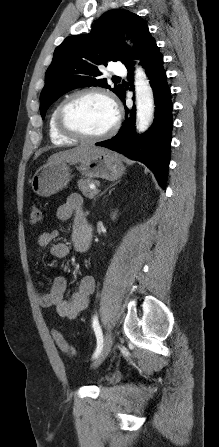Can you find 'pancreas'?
<instances>
[{
	"label": "pancreas",
	"mask_w": 219,
	"mask_h": 447,
	"mask_svg": "<svg viewBox=\"0 0 219 447\" xmlns=\"http://www.w3.org/2000/svg\"><path fill=\"white\" fill-rule=\"evenodd\" d=\"M77 183L79 190L85 197L92 199L97 194L89 187L91 183H97L96 181L90 179H80Z\"/></svg>",
	"instance_id": "cf45deb5"
}]
</instances>
